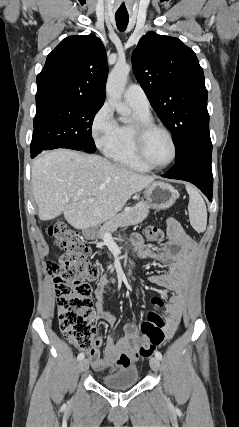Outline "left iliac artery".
Segmentation results:
<instances>
[{"mask_svg":"<svg viewBox=\"0 0 239 427\" xmlns=\"http://www.w3.org/2000/svg\"><path fill=\"white\" fill-rule=\"evenodd\" d=\"M155 357L158 358L159 360H162V354L159 351L155 352Z\"/></svg>","mask_w":239,"mask_h":427,"instance_id":"obj_1","label":"left iliac artery"}]
</instances>
